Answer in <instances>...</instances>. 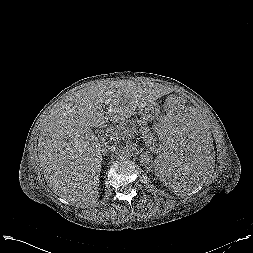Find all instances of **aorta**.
I'll list each match as a JSON object with an SVG mask.
<instances>
[{
    "label": "aorta",
    "mask_w": 253,
    "mask_h": 253,
    "mask_svg": "<svg viewBox=\"0 0 253 253\" xmlns=\"http://www.w3.org/2000/svg\"><path fill=\"white\" fill-rule=\"evenodd\" d=\"M132 156V153L128 147H121L118 151V157L122 160H127Z\"/></svg>",
    "instance_id": "762f6f07"
}]
</instances>
